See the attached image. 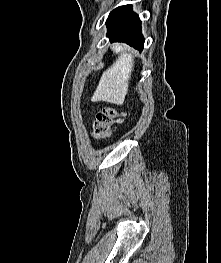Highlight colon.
Segmentation results:
<instances>
[{"label":"colon","instance_id":"5ec220e1","mask_svg":"<svg viewBox=\"0 0 221 263\" xmlns=\"http://www.w3.org/2000/svg\"><path fill=\"white\" fill-rule=\"evenodd\" d=\"M120 115L112 108L102 109L96 116L94 123L97 138H106L110 134L112 125L120 119Z\"/></svg>","mask_w":221,"mask_h":263}]
</instances>
